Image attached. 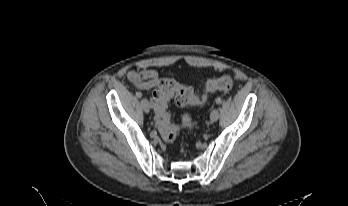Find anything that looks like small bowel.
<instances>
[{
  "label": "small bowel",
  "instance_id": "obj_1",
  "mask_svg": "<svg viewBox=\"0 0 348 206\" xmlns=\"http://www.w3.org/2000/svg\"><path fill=\"white\" fill-rule=\"evenodd\" d=\"M129 82L136 88L151 92L161 82V77L155 69L142 67L137 70H130L126 74Z\"/></svg>",
  "mask_w": 348,
  "mask_h": 206
}]
</instances>
